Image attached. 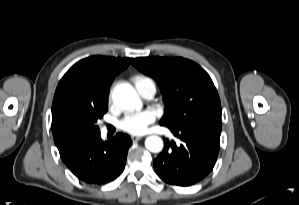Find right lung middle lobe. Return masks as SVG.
<instances>
[{"label": "right lung middle lobe", "instance_id": "right-lung-middle-lobe-1", "mask_svg": "<svg viewBox=\"0 0 299 205\" xmlns=\"http://www.w3.org/2000/svg\"><path fill=\"white\" fill-rule=\"evenodd\" d=\"M107 101L65 108L52 127L58 150H64L80 140L100 133L97 121L107 112Z\"/></svg>", "mask_w": 299, "mask_h": 205}]
</instances>
